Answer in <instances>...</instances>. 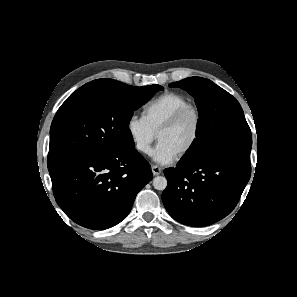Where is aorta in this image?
Masks as SVG:
<instances>
[{
	"label": "aorta",
	"instance_id": "aorta-1",
	"mask_svg": "<svg viewBox=\"0 0 297 297\" xmlns=\"http://www.w3.org/2000/svg\"><path fill=\"white\" fill-rule=\"evenodd\" d=\"M153 186L157 190H164L167 187V179L164 176H157L153 179Z\"/></svg>",
	"mask_w": 297,
	"mask_h": 297
}]
</instances>
